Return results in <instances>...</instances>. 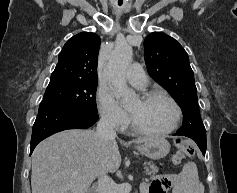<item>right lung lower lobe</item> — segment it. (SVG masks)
Masks as SVG:
<instances>
[{
	"instance_id": "right-lung-lower-lobe-1",
	"label": "right lung lower lobe",
	"mask_w": 237,
	"mask_h": 193,
	"mask_svg": "<svg viewBox=\"0 0 237 193\" xmlns=\"http://www.w3.org/2000/svg\"><path fill=\"white\" fill-rule=\"evenodd\" d=\"M97 119V114L78 113L59 106L41 104L32 129L30 155L36 145L48 136L66 129L88 128Z\"/></svg>"
}]
</instances>
